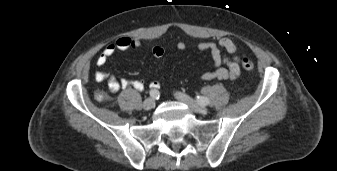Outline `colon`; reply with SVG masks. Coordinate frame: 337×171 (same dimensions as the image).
<instances>
[{
  "instance_id": "5ec220e1",
  "label": "colon",
  "mask_w": 337,
  "mask_h": 171,
  "mask_svg": "<svg viewBox=\"0 0 337 171\" xmlns=\"http://www.w3.org/2000/svg\"><path fill=\"white\" fill-rule=\"evenodd\" d=\"M241 64H242V67L248 71L254 68V63L249 57L242 58Z\"/></svg>"
}]
</instances>
